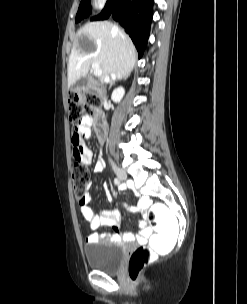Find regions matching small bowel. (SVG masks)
I'll return each instance as SVG.
<instances>
[{"instance_id":"obj_1","label":"small bowel","mask_w":247,"mask_h":304,"mask_svg":"<svg viewBox=\"0 0 247 304\" xmlns=\"http://www.w3.org/2000/svg\"><path fill=\"white\" fill-rule=\"evenodd\" d=\"M94 124V119L91 116H84L82 120L76 122L74 127L76 130H71V141H72V148H71V156L73 162H76L77 165H90L92 162V151L90 148L83 142L84 138L88 139L92 137V126ZM104 162L102 159H98L95 167L94 172L100 173L103 170ZM90 187H88L89 189ZM105 188L107 186L105 185ZM107 198H110V194H107ZM91 201V195L86 192L84 198L80 204V211L84 219L89 224V227L92 230L98 229L101 225H112L114 228L113 233H92L87 237L88 243H93L98 241L100 238L109 237L113 241H119L121 239L127 241H133L137 239L140 242H146L148 237L151 234V229L145 226V221L141 222V229L138 235L133 233H126L124 235H120L118 229L116 227L119 221V215L116 212H101L96 214L93 209L89 206ZM150 205L149 198H142L139 204V209L143 210L147 206Z\"/></svg>"}]
</instances>
